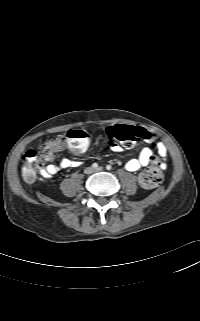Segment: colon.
Segmentation results:
<instances>
[{
  "label": "colon",
  "instance_id": "1",
  "mask_svg": "<svg viewBox=\"0 0 200 321\" xmlns=\"http://www.w3.org/2000/svg\"><path fill=\"white\" fill-rule=\"evenodd\" d=\"M108 137L119 142L126 148L132 147L141 136V131L129 125L109 126L106 129ZM63 142L73 152V154L84 155L87 152L89 135L81 129L69 131L65 136L50 139L43 142L37 150L29 149L23 156L22 175L27 182H32L36 178L37 169L41 162L52 157L59 143ZM163 179L160 164L157 158L153 157L151 165L145 169L139 176L140 184L147 189L158 186Z\"/></svg>",
  "mask_w": 200,
  "mask_h": 321
}]
</instances>
